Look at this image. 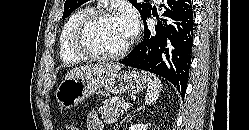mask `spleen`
<instances>
[{"label": "spleen", "instance_id": "1", "mask_svg": "<svg viewBox=\"0 0 249 130\" xmlns=\"http://www.w3.org/2000/svg\"><path fill=\"white\" fill-rule=\"evenodd\" d=\"M148 82V89L145 96L146 104H153L160 96L162 90V83L154 74L143 72Z\"/></svg>", "mask_w": 249, "mask_h": 130}]
</instances>
